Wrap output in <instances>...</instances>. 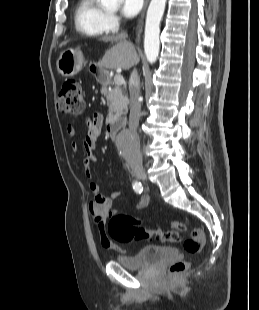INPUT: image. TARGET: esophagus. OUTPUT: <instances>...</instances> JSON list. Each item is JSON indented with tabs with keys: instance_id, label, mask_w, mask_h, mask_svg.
<instances>
[{
	"instance_id": "esophagus-1",
	"label": "esophagus",
	"mask_w": 259,
	"mask_h": 310,
	"mask_svg": "<svg viewBox=\"0 0 259 310\" xmlns=\"http://www.w3.org/2000/svg\"><path fill=\"white\" fill-rule=\"evenodd\" d=\"M148 3H149V0H145L144 7H143V10H142L141 16H140V18H139V20H138V24H137V27H136V35H137V37H140V35H141V33H142L143 20H144V16H145V12H146Z\"/></svg>"
}]
</instances>
